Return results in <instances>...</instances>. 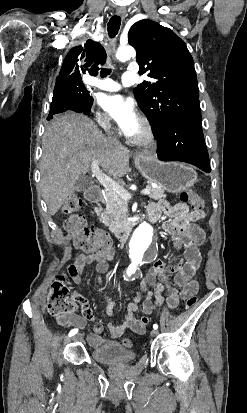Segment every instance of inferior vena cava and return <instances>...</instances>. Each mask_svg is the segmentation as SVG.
<instances>
[{
    "label": "inferior vena cava",
    "mask_w": 247,
    "mask_h": 413,
    "mask_svg": "<svg viewBox=\"0 0 247 413\" xmlns=\"http://www.w3.org/2000/svg\"><path fill=\"white\" fill-rule=\"evenodd\" d=\"M108 140H110V142H119L118 138L115 136V132H110Z\"/></svg>",
    "instance_id": "inferior-vena-cava-1"
}]
</instances>
